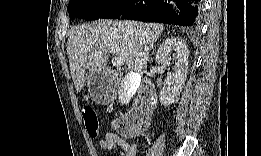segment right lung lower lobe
Here are the masks:
<instances>
[{
    "label": "right lung lower lobe",
    "instance_id": "right-lung-lower-lobe-1",
    "mask_svg": "<svg viewBox=\"0 0 261 156\" xmlns=\"http://www.w3.org/2000/svg\"><path fill=\"white\" fill-rule=\"evenodd\" d=\"M200 0H118L101 18H124L196 27Z\"/></svg>",
    "mask_w": 261,
    "mask_h": 156
}]
</instances>
